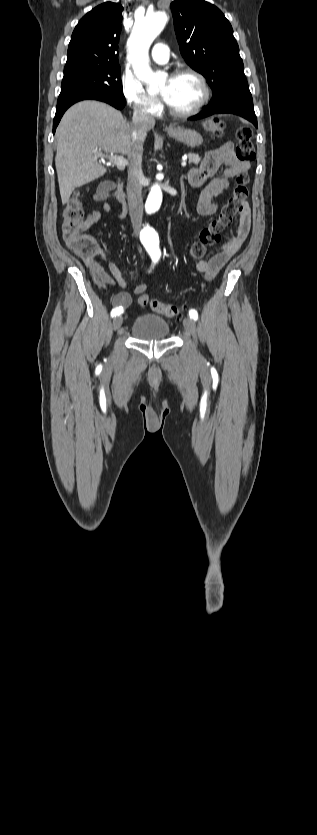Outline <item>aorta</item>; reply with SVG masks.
Segmentation results:
<instances>
[{
  "mask_svg": "<svg viewBox=\"0 0 317 835\" xmlns=\"http://www.w3.org/2000/svg\"><path fill=\"white\" fill-rule=\"evenodd\" d=\"M169 18V12L165 10L147 14L135 23L127 41V59L132 65L136 77L147 85L149 91L157 90L159 84L166 80L165 73H156L151 69L148 52L152 42L160 34ZM161 203L162 191L160 186L155 184L152 186L146 200V213L152 215L160 208ZM143 233L157 244V234L151 224L144 227Z\"/></svg>",
  "mask_w": 317,
  "mask_h": 835,
  "instance_id": "obj_1",
  "label": "aorta"
}]
</instances>
